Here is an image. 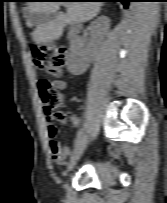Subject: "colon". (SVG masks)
I'll return each instance as SVG.
<instances>
[{
	"label": "colon",
	"mask_w": 167,
	"mask_h": 203,
	"mask_svg": "<svg viewBox=\"0 0 167 203\" xmlns=\"http://www.w3.org/2000/svg\"><path fill=\"white\" fill-rule=\"evenodd\" d=\"M51 53L50 55H48ZM33 56L38 68L47 70L54 76H60L67 64V53L62 47L54 44H45L33 48ZM38 92L47 118L65 121L66 116L62 112H55L54 106L60 102V94L47 78H40L37 82Z\"/></svg>",
	"instance_id": "1"
}]
</instances>
